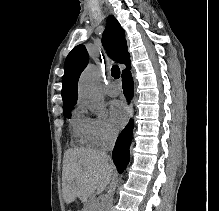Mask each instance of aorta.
Instances as JSON below:
<instances>
[{
	"label": "aorta",
	"instance_id": "762f6f07",
	"mask_svg": "<svg viewBox=\"0 0 219 211\" xmlns=\"http://www.w3.org/2000/svg\"><path fill=\"white\" fill-rule=\"evenodd\" d=\"M78 92L80 98L88 108L99 114L104 109V96L99 86V72L94 65H88L82 72L78 82ZM114 201L112 192L102 197L98 211H109Z\"/></svg>",
	"mask_w": 219,
	"mask_h": 211
}]
</instances>
